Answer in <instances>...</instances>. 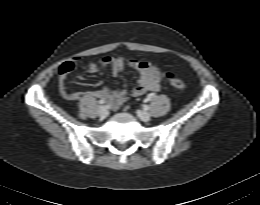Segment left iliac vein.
<instances>
[{
    "mask_svg": "<svg viewBox=\"0 0 260 205\" xmlns=\"http://www.w3.org/2000/svg\"><path fill=\"white\" fill-rule=\"evenodd\" d=\"M137 115L144 122H148L150 120V114L146 111L138 110Z\"/></svg>",
    "mask_w": 260,
    "mask_h": 205,
    "instance_id": "4c4485c4",
    "label": "left iliac vein"
}]
</instances>
